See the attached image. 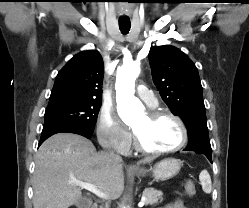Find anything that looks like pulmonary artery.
I'll use <instances>...</instances> for the list:
<instances>
[{"instance_id":"e3ab8cb5","label":"pulmonary artery","mask_w":249,"mask_h":208,"mask_svg":"<svg viewBox=\"0 0 249 208\" xmlns=\"http://www.w3.org/2000/svg\"><path fill=\"white\" fill-rule=\"evenodd\" d=\"M137 95L149 107L157 106V100L153 92L148 88H146L145 86L139 85L137 87Z\"/></svg>"}]
</instances>
